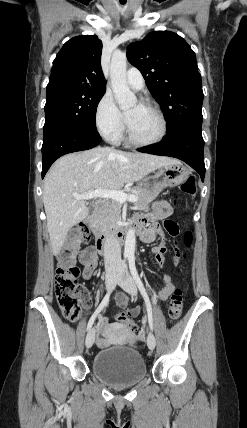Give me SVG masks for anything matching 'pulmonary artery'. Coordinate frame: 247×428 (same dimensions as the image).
Here are the masks:
<instances>
[{"mask_svg": "<svg viewBox=\"0 0 247 428\" xmlns=\"http://www.w3.org/2000/svg\"><path fill=\"white\" fill-rule=\"evenodd\" d=\"M126 82L130 88L139 91L144 88L145 82L141 72L136 68L127 71Z\"/></svg>", "mask_w": 247, "mask_h": 428, "instance_id": "1", "label": "pulmonary artery"}]
</instances>
